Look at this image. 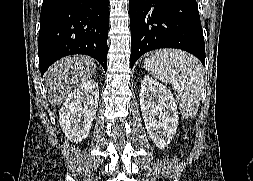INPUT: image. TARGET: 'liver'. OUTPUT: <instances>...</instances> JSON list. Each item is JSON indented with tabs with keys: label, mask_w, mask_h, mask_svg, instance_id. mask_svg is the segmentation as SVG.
Here are the masks:
<instances>
[{
	"label": "liver",
	"mask_w": 253,
	"mask_h": 181,
	"mask_svg": "<svg viewBox=\"0 0 253 181\" xmlns=\"http://www.w3.org/2000/svg\"><path fill=\"white\" fill-rule=\"evenodd\" d=\"M96 64L88 56H69L54 63L46 73V84L53 90L51 104L60 105L70 91L87 82L95 73Z\"/></svg>",
	"instance_id": "liver-1"
}]
</instances>
